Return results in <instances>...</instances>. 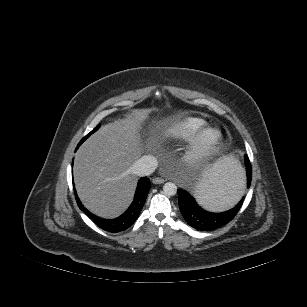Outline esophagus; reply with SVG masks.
<instances>
[{
	"instance_id": "esophagus-1",
	"label": "esophagus",
	"mask_w": 307,
	"mask_h": 307,
	"mask_svg": "<svg viewBox=\"0 0 307 307\" xmlns=\"http://www.w3.org/2000/svg\"><path fill=\"white\" fill-rule=\"evenodd\" d=\"M153 184H162L165 182V180L163 178L160 177H155L152 179Z\"/></svg>"
}]
</instances>
